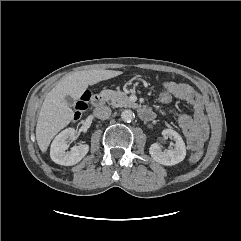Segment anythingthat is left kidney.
I'll return each mask as SVG.
<instances>
[{
  "label": "left kidney",
  "mask_w": 241,
  "mask_h": 241,
  "mask_svg": "<svg viewBox=\"0 0 241 241\" xmlns=\"http://www.w3.org/2000/svg\"><path fill=\"white\" fill-rule=\"evenodd\" d=\"M162 135L175 141L174 148L165 152L161 150L158 143H153L149 148L151 157L165 166H172L183 161L186 156V147L182 137L172 129L163 130Z\"/></svg>",
  "instance_id": "obj_1"
}]
</instances>
